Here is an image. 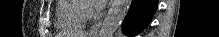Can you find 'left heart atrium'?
Instances as JSON below:
<instances>
[{
  "instance_id": "left-heart-atrium-1",
  "label": "left heart atrium",
  "mask_w": 219,
  "mask_h": 37,
  "mask_svg": "<svg viewBox=\"0 0 219 37\" xmlns=\"http://www.w3.org/2000/svg\"><path fill=\"white\" fill-rule=\"evenodd\" d=\"M97 6L101 5L104 1L102 0H94Z\"/></svg>"
}]
</instances>
